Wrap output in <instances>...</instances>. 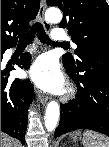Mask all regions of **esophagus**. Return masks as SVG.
Instances as JSON below:
<instances>
[{
	"instance_id": "obj_1",
	"label": "esophagus",
	"mask_w": 109,
	"mask_h": 147,
	"mask_svg": "<svg viewBox=\"0 0 109 147\" xmlns=\"http://www.w3.org/2000/svg\"><path fill=\"white\" fill-rule=\"evenodd\" d=\"M45 8H46L45 1H44V0H41V1H40V8H39L37 17H38V19L41 21V23L43 24L45 30H46L47 32H50V30H51V25H50L49 23H47V22L45 21V19H44ZM37 95H38V98H39V100H40V102H41L42 104H45V103L48 101V99H49V97H48L46 94H44L43 92H41V91H39V92L37 93Z\"/></svg>"
}]
</instances>
